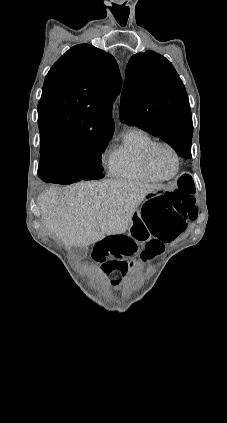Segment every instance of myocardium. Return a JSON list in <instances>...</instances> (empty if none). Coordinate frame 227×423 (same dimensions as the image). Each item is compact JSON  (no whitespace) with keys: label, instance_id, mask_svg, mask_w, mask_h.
<instances>
[{"label":"myocardium","instance_id":"myocardium-1","mask_svg":"<svg viewBox=\"0 0 227 423\" xmlns=\"http://www.w3.org/2000/svg\"><path fill=\"white\" fill-rule=\"evenodd\" d=\"M157 147L167 148L168 150L171 151V153L174 156L176 167H175L174 173L171 174L170 176H167V177L160 176L159 174H157L154 171V169L151 165L150 157H151L153 150ZM142 160H143V166H144L146 172L158 181H169V180L174 179L179 174L180 167H181V159H180V156H179V153L177 152V150L171 144H169L167 142H163V141H153L150 144H148L143 151Z\"/></svg>","mask_w":227,"mask_h":423}]
</instances>
